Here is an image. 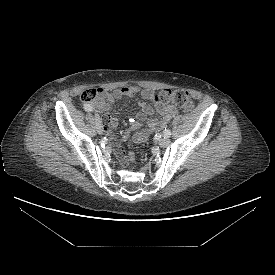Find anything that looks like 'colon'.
Returning a JSON list of instances; mask_svg holds the SVG:
<instances>
[{"label": "colon", "mask_w": 275, "mask_h": 275, "mask_svg": "<svg viewBox=\"0 0 275 275\" xmlns=\"http://www.w3.org/2000/svg\"><path fill=\"white\" fill-rule=\"evenodd\" d=\"M81 99L88 104H101L103 102L99 90L97 89H86L81 94ZM152 102H163L177 106L183 111L189 112L192 110L194 104L189 93L181 89H164L161 91H154L151 99ZM131 135H135V131L131 132ZM130 160L134 161L135 156L131 152L129 154Z\"/></svg>", "instance_id": "colon-1"}]
</instances>
